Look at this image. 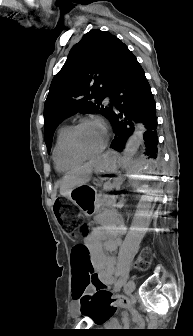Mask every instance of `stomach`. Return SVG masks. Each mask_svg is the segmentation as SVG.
Returning <instances> with one entry per match:
<instances>
[{
	"mask_svg": "<svg viewBox=\"0 0 193 336\" xmlns=\"http://www.w3.org/2000/svg\"><path fill=\"white\" fill-rule=\"evenodd\" d=\"M117 167V156L114 152H107L103 155L101 161L95 165L94 172L100 174H110L115 172ZM69 198L76 204L84 213L92 214L97 202L96 191L87 185H82L74 188Z\"/></svg>",
	"mask_w": 193,
	"mask_h": 336,
	"instance_id": "1",
	"label": "stomach"
}]
</instances>
